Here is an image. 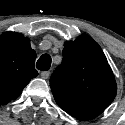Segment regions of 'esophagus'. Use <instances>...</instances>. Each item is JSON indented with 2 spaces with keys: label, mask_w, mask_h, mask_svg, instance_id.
Returning <instances> with one entry per match:
<instances>
[{
  "label": "esophagus",
  "mask_w": 125,
  "mask_h": 125,
  "mask_svg": "<svg viewBox=\"0 0 125 125\" xmlns=\"http://www.w3.org/2000/svg\"><path fill=\"white\" fill-rule=\"evenodd\" d=\"M41 78L43 79H48L49 76H50V72L49 71H44V72H41Z\"/></svg>",
  "instance_id": "1"
}]
</instances>
